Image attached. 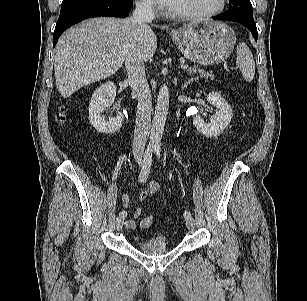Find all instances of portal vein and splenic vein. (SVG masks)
I'll list each match as a JSON object with an SVG mask.
<instances>
[{
	"label": "portal vein and splenic vein",
	"instance_id": "obj_1",
	"mask_svg": "<svg viewBox=\"0 0 307 301\" xmlns=\"http://www.w3.org/2000/svg\"><path fill=\"white\" fill-rule=\"evenodd\" d=\"M189 68V66L188 65H181V69H183V70H187Z\"/></svg>",
	"mask_w": 307,
	"mask_h": 301
}]
</instances>
